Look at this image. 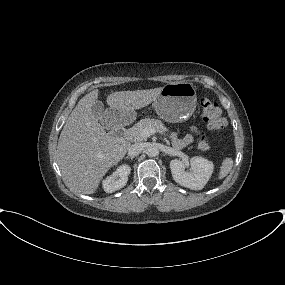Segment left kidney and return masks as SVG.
<instances>
[{"label": "left kidney", "instance_id": "left-kidney-1", "mask_svg": "<svg viewBox=\"0 0 285 285\" xmlns=\"http://www.w3.org/2000/svg\"><path fill=\"white\" fill-rule=\"evenodd\" d=\"M187 164L178 159L170 162L172 177L179 185L192 190H201L209 181L214 165L203 157L195 156L190 159L191 171H185Z\"/></svg>", "mask_w": 285, "mask_h": 285}]
</instances>
